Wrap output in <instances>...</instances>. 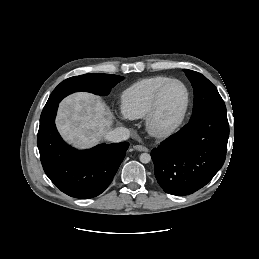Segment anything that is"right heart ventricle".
<instances>
[{
	"label": "right heart ventricle",
	"instance_id": "e07e8e85",
	"mask_svg": "<svg viewBox=\"0 0 259 259\" xmlns=\"http://www.w3.org/2000/svg\"><path fill=\"white\" fill-rule=\"evenodd\" d=\"M168 79L166 76H152L127 87L120 97L123 113L131 119L145 117L157 88Z\"/></svg>",
	"mask_w": 259,
	"mask_h": 259
}]
</instances>
